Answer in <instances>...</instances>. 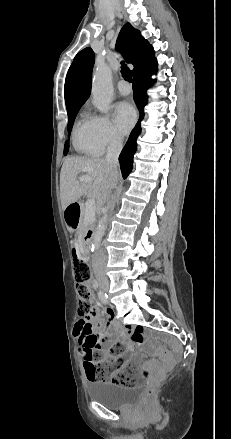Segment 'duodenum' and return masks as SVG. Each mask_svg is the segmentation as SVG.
<instances>
[{
  "mask_svg": "<svg viewBox=\"0 0 231 439\" xmlns=\"http://www.w3.org/2000/svg\"><path fill=\"white\" fill-rule=\"evenodd\" d=\"M75 205L79 206V203H75ZM92 236H93V231L92 230L87 231V233L85 235L86 242H89L91 240Z\"/></svg>",
  "mask_w": 231,
  "mask_h": 439,
  "instance_id": "duodenum-1",
  "label": "duodenum"
}]
</instances>
